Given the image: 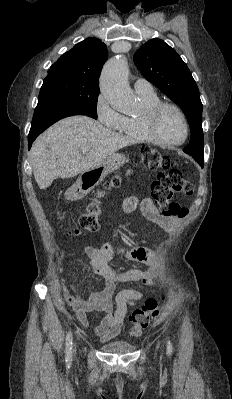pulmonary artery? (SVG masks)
<instances>
[{
	"instance_id": "e3ab8cb5",
	"label": "pulmonary artery",
	"mask_w": 232,
	"mask_h": 399,
	"mask_svg": "<svg viewBox=\"0 0 232 399\" xmlns=\"http://www.w3.org/2000/svg\"><path fill=\"white\" fill-rule=\"evenodd\" d=\"M135 88L138 89V96H153L154 95V83L149 81H141L140 77L134 78Z\"/></svg>"
}]
</instances>
